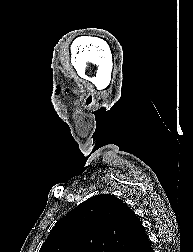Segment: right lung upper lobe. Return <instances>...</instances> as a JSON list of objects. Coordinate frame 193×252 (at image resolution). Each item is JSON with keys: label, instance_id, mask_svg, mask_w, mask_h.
I'll use <instances>...</instances> for the list:
<instances>
[{"label": "right lung upper lobe", "instance_id": "obj_1", "mask_svg": "<svg viewBox=\"0 0 193 252\" xmlns=\"http://www.w3.org/2000/svg\"><path fill=\"white\" fill-rule=\"evenodd\" d=\"M144 233L121 199L100 194L59 220L39 252H129Z\"/></svg>", "mask_w": 193, "mask_h": 252}]
</instances>
